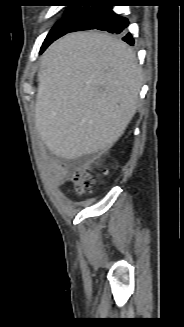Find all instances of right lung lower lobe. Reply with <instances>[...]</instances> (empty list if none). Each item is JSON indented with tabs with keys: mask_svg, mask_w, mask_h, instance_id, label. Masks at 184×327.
<instances>
[{
	"mask_svg": "<svg viewBox=\"0 0 184 327\" xmlns=\"http://www.w3.org/2000/svg\"><path fill=\"white\" fill-rule=\"evenodd\" d=\"M128 24V20L116 14L111 5L92 6L69 32L97 29L120 34L125 31ZM123 40L130 45L134 44V39L130 33H127Z\"/></svg>",
	"mask_w": 184,
	"mask_h": 327,
	"instance_id": "98d812e1",
	"label": "right lung lower lobe"
}]
</instances>
